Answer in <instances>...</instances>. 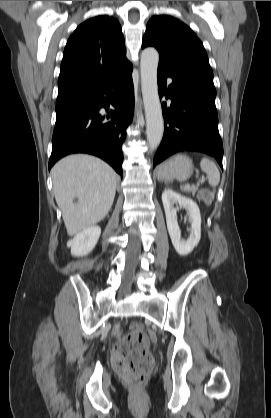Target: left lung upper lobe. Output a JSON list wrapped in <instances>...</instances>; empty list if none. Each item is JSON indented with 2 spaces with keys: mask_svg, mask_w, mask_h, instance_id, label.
Segmentation results:
<instances>
[{
  "mask_svg": "<svg viewBox=\"0 0 271 418\" xmlns=\"http://www.w3.org/2000/svg\"><path fill=\"white\" fill-rule=\"evenodd\" d=\"M159 51V65L173 75L214 88L213 72L202 42L184 23L167 15L154 16L147 24L142 48Z\"/></svg>",
  "mask_w": 271,
  "mask_h": 418,
  "instance_id": "1",
  "label": "left lung upper lobe"
}]
</instances>
